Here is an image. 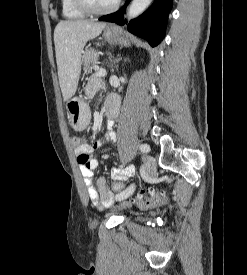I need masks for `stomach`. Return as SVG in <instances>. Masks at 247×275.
Returning <instances> with one entry per match:
<instances>
[{"label": "stomach", "instance_id": "0dacf381", "mask_svg": "<svg viewBox=\"0 0 247 275\" xmlns=\"http://www.w3.org/2000/svg\"><path fill=\"white\" fill-rule=\"evenodd\" d=\"M119 31L116 28H107L104 31V38L107 41H115L118 37ZM124 45H129L128 41H123ZM98 54L94 50H86L83 55V63H84V70L87 71L89 69V65L91 62H94L97 60ZM66 108L69 115V121L70 125L73 129L77 131H82L86 129L88 126L90 119H91V113L89 106L87 103L79 98L74 97L67 101Z\"/></svg>", "mask_w": 247, "mask_h": 275}]
</instances>
